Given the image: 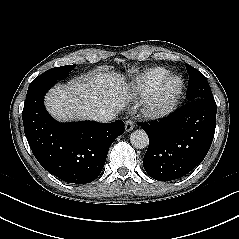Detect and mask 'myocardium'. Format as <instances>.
<instances>
[{"label": "myocardium", "mask_w": 239, "mask_h": 239, "mask_svg": "<svg viewBox=\"0 0 239 239\" xmlns=\"http://www.w3.org/2000/svg\"><path fill=\"white\" fill-rule=\"evenodd\" d=\"M184 88L185 83L181 76H167L144 97L143 114L150 119L169 116L177 109Z\"/></svg>", "instance_id": "f54148a6"}]
</instances>
